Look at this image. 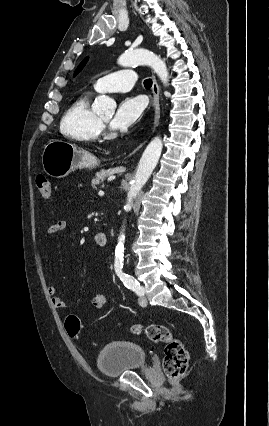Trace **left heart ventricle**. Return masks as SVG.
<instances>
[{"instance_id":"b2bd125f","label":"left heart ventricle","mask_w":269,"mask_h":426,"mask_svg":"<svg viewBox=\"0 0 269 426\" xmlns=\"http://www.w3.org/2000/svg\"><path fill=\"white\" fill-rule=\"evenodd\" d=\"M105 122H108L110 119H111V117L109 116V117H104V118H102Z\"/></svg>"}]
</instances>
